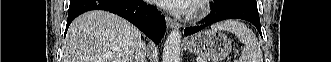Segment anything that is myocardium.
<instances>
[{"label": "myocardium", "mask_w": 331, "mask_h": 62, "mask_svg": "<svg viewBox=\"0 0 331 62\" xmlns=\"http://www.w3.org/2000/svg\"><path fill=\"white\" fill-rule=\"evenodd\" d=\"M205 1H196L194 4V14L196 16L204 15L207 12V7L205 6Z\"/></svg>", "instance_id": "f54148a6"}]
</instances>
